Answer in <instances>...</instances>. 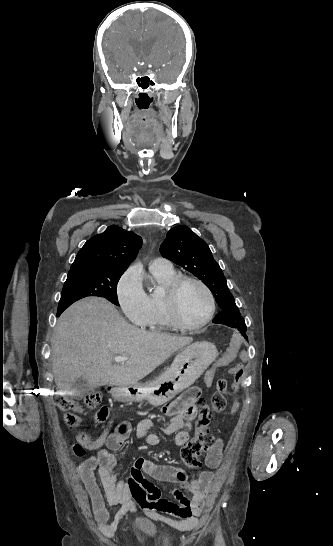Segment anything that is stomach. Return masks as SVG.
Listing matches in <instances>:
<instances>
[{"label":"stomach","instance_id":"obj_1","mask_svg":"<svg viewBox=\"0 0 333 546\" xmlns=\"http://www.w3.org/2000/svg\"><path fill=\"white\" fill-rule=\"evenodd\" d=\"M218 355L214 344L198 341L183 348L172 365L154 381L113 388L111 395L117 402H140L148 400L160 406L176 394L191 386Z\"/></svg>","mask_w":333,"mask_h":546}]
</instances>
